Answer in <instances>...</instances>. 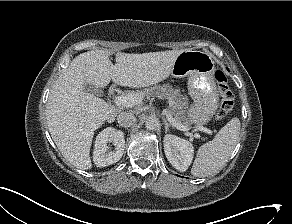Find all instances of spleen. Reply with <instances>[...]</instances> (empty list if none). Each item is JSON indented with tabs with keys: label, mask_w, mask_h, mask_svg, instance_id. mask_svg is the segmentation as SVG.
<instances>
[{
	"label": "spleen",
	"mask_w": 292,
	"mask_h": 224,
	"mask_svg": "<svg viewBox=\"0 0 292 224\" xmlns=\"http://www.w3.org/2000/svg\"><path fill=\"white\" fill-rule=\"evenodd\" d=\"M240 133V121L232 118L216 134L215 138L202 145L197 152L191 173L197 177H205L218 173L233 152Z\"/></svg>",
	"instance_id": "1"
}]
</instances>
